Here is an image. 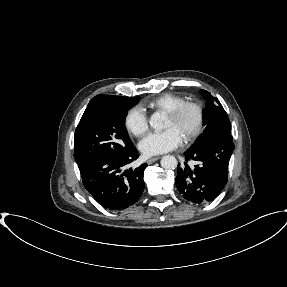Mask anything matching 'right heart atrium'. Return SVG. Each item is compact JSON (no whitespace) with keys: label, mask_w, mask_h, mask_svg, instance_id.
Masks as SVG:
<instances>
[{"label":"right heart atrium","mask_w":287,"mask_h":287,"mask_svg":"<svg viewBox=\"0 0 287 287\" xmlns=\"http://www.w3.org/2000/svg\"><path fill=\"white\" fill-rule=\"evenodd\" d=\"M124 125L128 133L140 137L148 131V117L142 108L133 107L126 113Z\"/></svg>","instance_id":"obj_1"}]
</instances>
